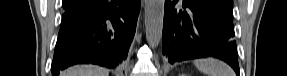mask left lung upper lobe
<instances>
[{
  "mask_svg": "<svg viewBox=\"0 0 287 76\" xmlns=\"http://www.w3.org/2000/svg\"><path fill=\"white\" fill-rule=\"evenodd\" d=\"M232 20L233 0H194Z\"/></svg>",
  "mask_w": 287,
  "mask_h": 76,
  "instance_id": "1",
  "label": "left lung upper lobe"
}]
</instances>
